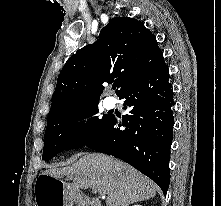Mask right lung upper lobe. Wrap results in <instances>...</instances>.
Listing matches in <instances>:
<instances>
[{
  "label": "right lung upper lobe",
  "instance_id": "obj_1",
  "mask_svg": "<svg viewBox=\"0 0 221 206\" xmlns=\"http://www.w3.org/2000/svg\"><path fill=\"white\" fill-rule=\"evenodd\" d=\"M164 62L156 37L144 24L116 17L100 39L72 55L60 72L49 114L84 103H98L103 83H116L117 95ZM48 114V115H49Z\"/></svg>",
  "mask_w": 221,
  "mask_h": 206
}]
</instances>
